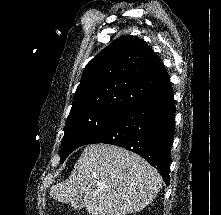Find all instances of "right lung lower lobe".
Masks as SVG:
<instances>
[{"mask_svg": "<svg viewBox=\"0 0 221 215\" xmlns=\"http://www.w3.org/2000/svg\"><path fill=\"white\" fill-rule=\"evenodd\" d=\"M174 120V95L168 81L158 92L120 115L86 144L107 143L133 151L158 169L168 185Z\"/></svg>", "mask_w": 221, "mask_h": 215, "instance_id": "right-lung-lower-lobe-1", "label": "right lung lower lobe"}]
</instances>
